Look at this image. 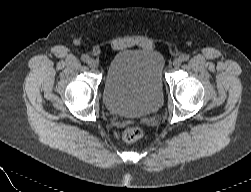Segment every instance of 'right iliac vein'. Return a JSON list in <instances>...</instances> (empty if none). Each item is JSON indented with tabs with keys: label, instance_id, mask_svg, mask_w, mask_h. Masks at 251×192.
I'll return each instance as SVG.
<instances>
[{
	"label": "right iliac vein",
	"instance_id": "right-iliac-vein-1",
	"mask_svg": "<svg viewBox=\"0 0 251 192\" xmlns=\"http://www.w3.org/2000/svg\"><path fill=\"white\" fill-rule=\"evenodd\" d=\"M88 65H89L91 68L95 69V68L98 67V62H97L95 59L90 58V59L88 60Z\"/></svg>",
	"mask_w": 251,
	"mask_h": 192
}]
</instances>
